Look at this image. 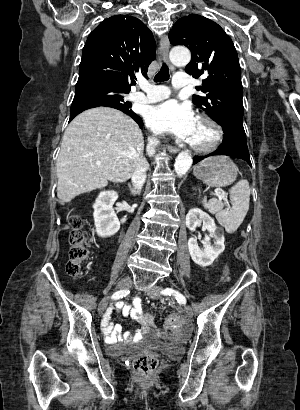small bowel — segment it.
<instances>
[{"label":"small bowel","mask_w":300,"mask_h":410,"mask_svg":"<svg viewBox=\"0 0 300 410\" xmlns=\"http://www.w3.org/2000/svg\"><path fill=\"white\" fill-rule=\"evenodd\" d=\"M121 313L125 317H130L140 323L141 328L137 330L134 335L129 333H122V327L119 324H113L111 322V317L113 313ZM153 319L150 315L143 312L140 306V299L136 298L134 300V305L130 306L123 302H118L114 306H111L105 312L101 326L102 332L109 342H117L122 339L133 338L135 340L141 339L153 328Z\"/></svg>","instance_id":"small-bowel-1"}]
</instances>
